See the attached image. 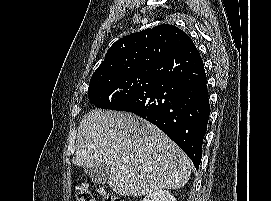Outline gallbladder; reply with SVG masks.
<instances>
[{
  "mask_svg": "<svg viewBox=\"0 0 271 201\" xmlns=\"http://www.w3.org/2000/svg\"><path fill=\"white\" fill-rule=\"evenodd\" d=\"M110 170L105 163L95 165L85 170V174L96 184H106Z\"/></svg>",
  "mask_w": 271,
  "mask_h": 201,
  "instance_id": "obj_1",
  "label": "gallbladder"
}]
</instances>
